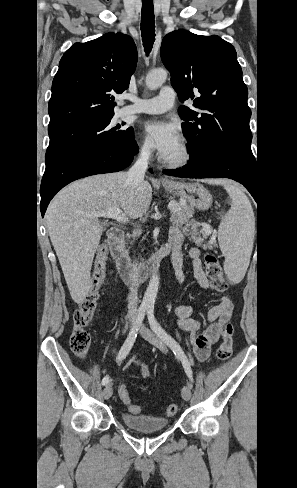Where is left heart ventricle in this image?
Instances as JSON below:
<instances>
[{
	"label": "left heart ventricle",
	"mask_w": 297,
	"mask_h": 488,
	"mask_svg": "<svg viewBox=\"0 0 297 488\" xmlns=\"http://www.w3.org/2000/svg\"><path fill=\"white\" fill-rule=\"evenodd\" d=\"M181 151H182L181 143L179 142L166 158L167 159H176V158L180 157Z\"/></svg>",
	"instance_id": "left-heart-ventricle-1"
}]
</instances>
